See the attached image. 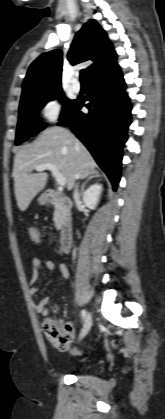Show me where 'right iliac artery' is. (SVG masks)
Instances as JSON below:
<instances>
[{"label":"right iliac artery","instance_id":"1","mask_svg":"<svg viewBox=\"0 0 165 419\" xmlns=\"http://www.w3.org/2000/svg\"><path fill=\"white\" fill-rule=\"evenodd\" d=\"M81 317H82V320L85 319V317H86V311L85 310L81 311Z\"/></svg>","mask_w":165,"mask_h":419}]
</instances>
